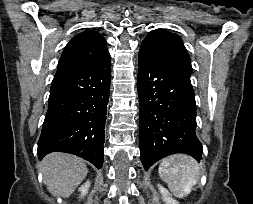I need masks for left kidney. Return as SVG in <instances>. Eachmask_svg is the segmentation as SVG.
I'll return each instance as SVG.
<instances>
[{
  "label": "left kidney",
  "instance_id": "5707ae66",
  "mask_svg": "<svg viewBox=\"0 0 253 204\" xmlns=\"http://www.w3.org/2000/svg\"><path fill=\"white\" fill-rule=\"evenodd\" d=\"M158 188L166 204H179L175 199L172 198V195L166 188L161 185H158Z\"/></svg>",
  "mask_w": 253,
  "mask_h": 204
}]
</instances>
